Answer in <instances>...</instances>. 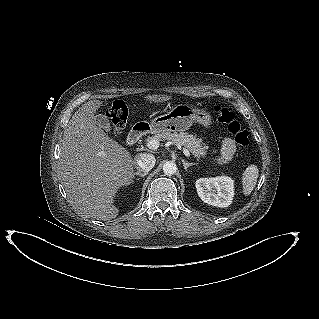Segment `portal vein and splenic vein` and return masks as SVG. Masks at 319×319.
Here are the masks:
<instances>
[{
    "label": "portal vein and splenic vein",
    "instance_id": "1",
    "mask_svg": "<svg viewBox=\"0 0 319 319\" xmlns=\"http://www.w3.org/2000/svg\"><path fill=\"white\" fill-rule=\"evenodd\" d=\"M159 145H160V143H159L158 139H151V140L147 143V147H148L149 149H151V150H156V149H158V148H159ZM183 153H184V155H185L186 157H189V156H190V152H189L186 148L183 149Z\"/></svg>",
    "mask_w": 319,
    "mask_h": 319
}]
</instances>
